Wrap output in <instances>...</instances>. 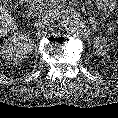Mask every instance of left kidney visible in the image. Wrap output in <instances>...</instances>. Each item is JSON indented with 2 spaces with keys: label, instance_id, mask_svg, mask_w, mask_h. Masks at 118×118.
I'll list each match as a JSON object with an SVG mask.
<instances>
[{
  "label": "left kidney",
  "instance_id": "1",
  "mask_svg": "<svg viewBox=\"0 0 118 118\" xmlns=\"http://www.w3.org/2000/svg\"><path fill=\"white\" fill-rule=\"evenodd\" d=\"M94 47L96 48V53L104 58H109V45L105 38L96 37L94 40Z\"/></svg>",
  "mask_w": 118,
  "mask_h": 118
}]
</instances>
